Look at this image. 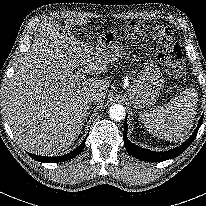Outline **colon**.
I'll return each mask as SVG.
<instances>
[{"label":"colon","instance_id":"obj_1","mask_svg":"<svg viewBox=\"0 0 206 206\" xmlns=\"http://www.w3.org/2000/svg\"><path fill=\"white\" fill-rule=\"evenodd\" d=\"M127 34L132 37L150 36L156 44L157 57L166 73L181 79L185 72V64L179 45L175 42L170 27L161 21H137L132 23Z\"/></svg>","mask_w":206,"mask_h":206}]
</instances>
